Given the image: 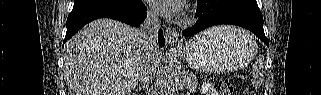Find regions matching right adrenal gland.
<instances>
[{
    "mask_svg": "<svg viewBox=\"0 0 321 95\" xmlns=\"http://www.w3.org/2000/svg\"><path fill=\"white\" fill-rule=\"evenodd\" d=\"M148 87V84H144L142 86H139L138 88L135 89V93L138 91V90H141V89H146Z\"/></svg>",
    "mask_w": 321,
    "mask_h": 95,
    "instance_id": "1",
    "label": "right adrenal gland"
}]
</instances>
